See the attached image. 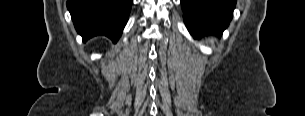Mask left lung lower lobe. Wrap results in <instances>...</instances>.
<instances>
[{
    "label": "left lung lower lobe",
    "instance_id": "0a47b994",
    "mask_svg": "<svg viewBox=\"0 0 305 116\" xmlns=\"http://www.w3.org/2000/svg\"><path fill=\"white\" fill-rule=\"evenodd\" d=\"M184 22L193 36L222 35L229 25L235 0H181Z\"/></svg>",
    "mask_w": 305,
    "mask_h": 116
}]
</instances>
